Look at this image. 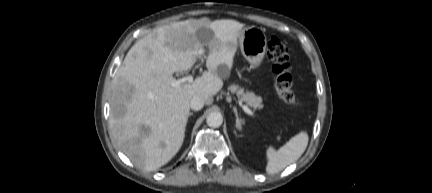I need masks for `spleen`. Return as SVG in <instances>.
Segmentation results:
<instances>
[{
	"label": "spleen",
	"mask_w": 432,
	"mask_h": 193,
	"mask_svg": "<svg viewBox=\"0 0 432 193\" xmlns=\"http://www.w3.org/2000/svg\"><path fill=\"white\" fill-rule=\"evenodd\" d=\"M308 140V134L302 131L278 150L270 146L266 152V172L270 175L276 174L296 162L306 150Z\"/></svg>",
	"instance_id": "spleen-1"
}]
</instances>
